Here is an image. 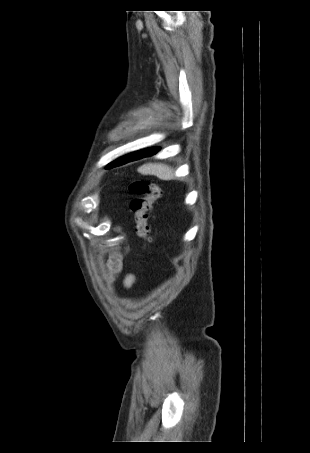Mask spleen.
<instances>
[{"mask_svg":"<svg viewBox=\"0 0 310 453\" xmlns=\"http://www.w3.org/2000/svg\"><path fill=\"white\" fill-rule=\"evenodd\" d=\"M138 171L142 174L157 176L161 180H171L175 177L174 170L165 164H145Z\"/></svg>","mask_w":310,"mask_h":453,"instance_id":"1","label":"spleen"}]
</instances>
